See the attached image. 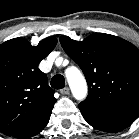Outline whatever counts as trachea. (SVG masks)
<instances>
[{
	"label": "trachea",
	"instance_id": "obj_1",
	"mask_svg": "<svg viewBox=\"0 0 139 139\" xmlns=\"http://www.w3.org/2000/svg\"><path fill=\"white\" fill-rule=\"evenodd\" d=\"M51 86L55 89H62L65 86V79L62 75L58 74L52 77Z\"/></svg>",
	"mask_w": 139,
	"mask_h": 139
}]
</instances>
